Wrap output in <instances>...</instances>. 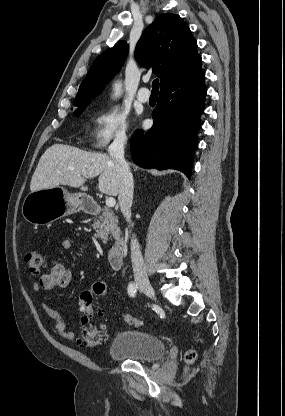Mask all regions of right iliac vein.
<instances>
[{
	"instance_id": "1",
	"label": "right iliac vein",
	"mask_w": 285,
	"mask_h": 416,
	"mask_svg": "<svg viewBox=\"0 0 285 416\" xmlns=\"http://www.w3.org/2000/svg\"><path fill=\"white\" fill-rule=\"evenodd\" d=\"M136 282L141 290L150 298L156 299V292L153 289L151 283L147 279H141L139 277L136 278Z\"/></svg>"
}]
</instances>
